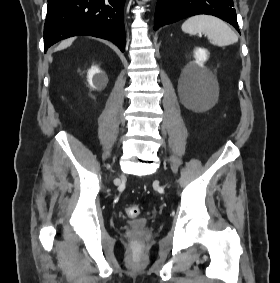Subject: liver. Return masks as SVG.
<instances>
[{
    "label": "liver",
    "mask_w": 280,
    "mask_h": 283,
    "mask_svg": "<svg viewBox=\"0 0 280 283\" xmlns=\"http://www.w3.org/2000/svg\"><path fill=\"white\" fill-rule=\"evenodd\" d=\"M73 41H74V38H71V39H68V40H66V41H63V42L59 45V47L57 48V50H61V49H64V48H66V47H69V46L72 44Z\"/></svg>",
    "instance_id": "liver-1"
}]
</instances>
